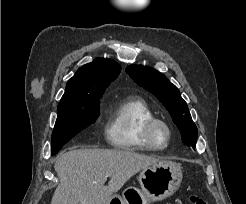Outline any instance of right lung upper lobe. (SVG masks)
I'll return each mask as SVG.
<instances>
[{
    "mask_svg": "<svg viewBox=\"0 0 246 204\" xmlns=\"http://www.w3.org/2000/svg\"><path fill=\"white\" fill-rule=\"evenodd\" d=\"M121 66L111 59L97 58L77 70L67 82L60 103H71L93 96H102L108 85L119 75Z\"/></svg>",
    "mask_w": 246,
    "mask_h": 204,
    "instance_id": "right-lung-upper-lobe-1",
    "label": "right lung upper lobe"
}]
</instances>
